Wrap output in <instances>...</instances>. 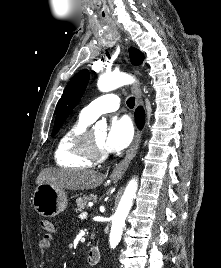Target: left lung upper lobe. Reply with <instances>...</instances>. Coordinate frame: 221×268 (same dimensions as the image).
<instances>
[{
	"instance_id": "left-lung-upper-lobe-1",
	"label": "left lung upper lobe",
	"mask_w": 221,
	"mask_h": 268,
	"mask_svg": "<svg viewBox=\"0 0 221 268\" xmlns=\"http://www.w3.org/2000/svg\"><path fill=\"white\" fill-rule=\"evenodd\" d=\"M129 54L132 64L139 65L142 63L144 56L140 51L131 47L129 49ZM89 78V71L81 70L70 80V82L65 87L64 93L60 98L56 108V118L51 136H54L59 131L66 118L80 101L82 95L85 92Z\"/></svg>"
}]
</instances>
